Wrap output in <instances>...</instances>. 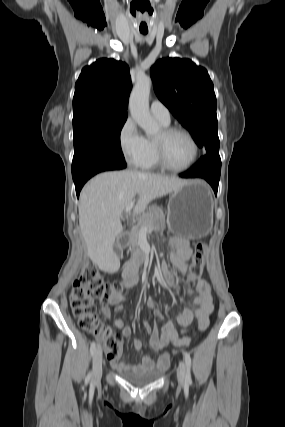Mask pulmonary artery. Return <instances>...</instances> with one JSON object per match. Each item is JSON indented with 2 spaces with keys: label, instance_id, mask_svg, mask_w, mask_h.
<instances>
[{
  "label": "pulmonary artery",
  "instance_id": "e3ab8cb5",
  "mask_svg": "<svg viewBox=\"0 0 285 427\" xmlns=\"http://www.w3.org/2000/svg\"><path fill=\"white\" fill-rule=\"evenodd\" d=\"M151 114L155 119L163 124H169L171 120L168 108L159 100L152 101L150 105Z\"/></svg>",
  "mask_w": 285,
  "mask_h": 427
}]
</instances>
